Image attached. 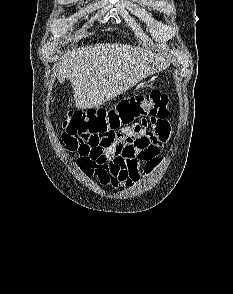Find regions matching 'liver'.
<instances>
[{
    "label": "liver",
    "instance_id": "6515ba94",
    "mask_svg": "<svg viewBox=\"0 0 233 294\" xmlns=\"http://www.w3.org/2000/svg\"><path fill=\"white\" fill-rule=\"evenodd\" d=\"M168 64L164 58L140 47L98 43L65 53L57 78L60 84L69 79L77 108L90 109L126 92Z\"/></svg>",
    "mask_w": 233,
    "mask_h": 294
}]
</instances>
